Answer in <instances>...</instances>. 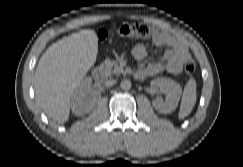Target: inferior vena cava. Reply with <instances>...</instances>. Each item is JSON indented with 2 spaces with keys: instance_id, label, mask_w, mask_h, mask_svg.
I'll list each match as a JSON object with an SVG mask.
<instances>
[{
  "instance_id": "obj_1",
  "label": "inferior vena cava",
  "mask_w": 243,
  "mask_h": 167,
  "mask_svg": "<svg viewBox=\"0 0 243 167\" xmlns=\"http://www.w3.org/2000/svg\"><path fill=\"white\" fill-rule=\"evenodd\" d=\"M115 83H116V80H114V79H109V80H106V81H105V86H106V87H111V86H113Z\"/></svg>"
}]
</instances>
